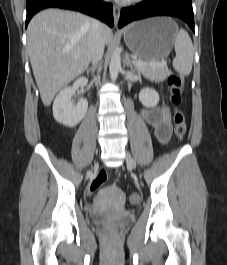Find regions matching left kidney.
I'll return each instance as SVG.
<instances>
[{
	"label": "left kidney",
	"mask_w": 227,
	"mask_h": 265,
	"mask_svg": "<svg viewBox=\"0 0 227 265\" xmlns=\"http://www.w3.org/2000/svg\"><path fill=\"white\" fill-rule=\"evenodd\" d=\"M139 100L146 107H155L159 102V94L152 88H143L139 93Z\"/></svg>",
	"instance_id": "5707ae66"
}]
</instances>
